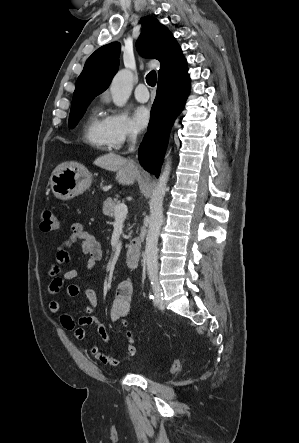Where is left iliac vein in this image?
Here are the masks:
<instances>
[{"instance_id": "obj_1", "label": "left iliac vein", "mask_w": 299, "mask_h": 443, "mask_svg": "<svg viewBox=\"0 0 299 443\" xmlns=\"http://www.w3.org/2000/svg\"><path fill=\"white\" fill-rule=\"evenodd\" d=\"M160 290H161V292H162L161 287H160ZM158 307H159L160 309H164L165 305H164L163 300H161V301L158 303Z\"/></svg>"}]
</instances>
